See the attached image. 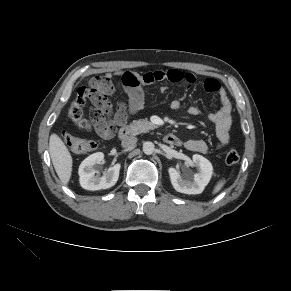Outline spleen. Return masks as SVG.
Segmentation results:
<instances>
[{
  "label": "spleen",
  "instance_id": "spleen-1",
  "mask_svg": "<svg viewBox=\"0 0 291 291\" xmlns=\"http://www.w3.org/2000/svg\"><path fill=\"white\" fill-rule=\"evenodd\" d=\"M224 184H225V180L224 179L218 181L217 184L215 185L212 193L213 194L218 193L223 188Z\"/></svg>",
  "mask_w": 291,
  "mask_h": 291
}]
</instances>
